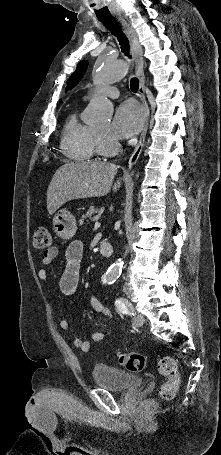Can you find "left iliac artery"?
Listing matches in <instances>:
<instances>
[{
  "instance_id": "44dca946",
  "label": "left iliac artery",
  "mask_w": 221,
  "mask_h": 455,
  "mask_svg": "<svg viewBox=\"0 0 221 455\" xmlns=\"http://www.w3.org/2000/svg\"><path fill=\"white\" fill-rule=\"evenodd\" d=\"M115 305L120 312L124 314L134 315L132 304L127 299L117 298L115 300Z\"/></svg>"
}]
</instances>
